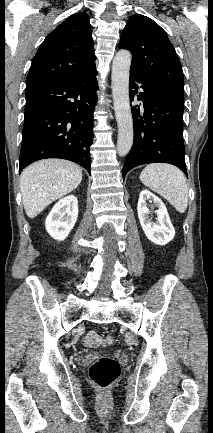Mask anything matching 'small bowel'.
Here are the masks:
<instances>
[{"label": "small bowel", "instance_id": "c3829d8e", "mask_svg": "<svg viewBox=\"0 0 213 433\" xmlns=\"http://www.w3.org/2000/svg\"><path fill=\"white\" fill-rule=\"evenodd\" d=\"M85 346L95 347L103 344V339L94 331L88 332L82 339Z\"/></svg>", "mask_w": 213, "mask_h": 433}]
</instances>
